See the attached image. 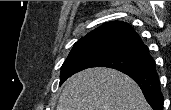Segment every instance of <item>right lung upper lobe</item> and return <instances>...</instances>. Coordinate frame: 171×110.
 Segmentation results:
<instances>
[{"instance_id":"obj_1","label":"right lung upper lobe","mask_w":171,"mask_h":110,"mask_svg":"<svg viewBox=\"0 0 171 110\" xmlns=\"http://www.w3.org/2000/svg\"><path fill=\"white\" fill-rule=\"evenodd\" d=\"M87 43H105L122 46L150 56L148 48L143 44L138 34L128 23L122 21L103 24L79 39L74 46Z\"/></svg>"}]
</instances>
